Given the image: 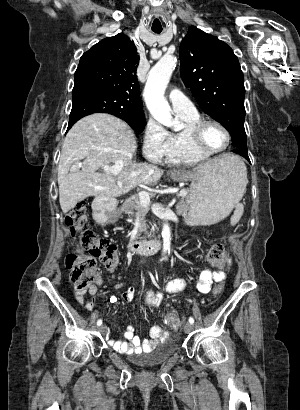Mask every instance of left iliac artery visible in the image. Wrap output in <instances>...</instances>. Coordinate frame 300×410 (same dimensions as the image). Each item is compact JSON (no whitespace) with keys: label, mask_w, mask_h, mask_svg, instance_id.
Masks as SVG:
<instances>
[{"label":"left iliac artery","mask_w":300,"mask_h":410,"mask_svg":"<svg viewBox=\"0 0 300 410\" xmlns=\"http://www.w3.org/2000/svg\"><path fill=\"white\" fill-rule=\"evenodd\" d=\"M189 323H191V324L194 323V319L192 317L189 318Z\"/></svg>","instance_id":"44dca946"}]
</instances>
